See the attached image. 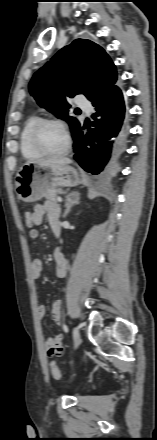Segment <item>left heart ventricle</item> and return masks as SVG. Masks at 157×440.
Masks as SVG:
<instances>
[{
    "label": "left heart ventricle",
    "instance_id": "b2bd125f",
    "mask_svg": "<svg viewBox=\"0 0 157 440\" xmlns=\"http://www.w3.org/2000/svg\"><path fill=\"white\" fill-rule=\"evenodd\" d=\"M39 142L45 150L58 152L65 147L66 138L60 127L46 125L39 132Z\"/></svg>",
    "mask_w": 157,
    "mask_h": 440
}]
</instances>
